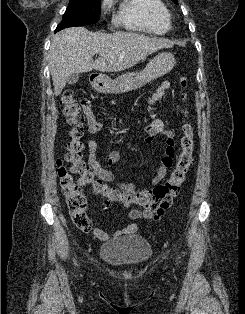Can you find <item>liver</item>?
<instances>
[{
  "instance_id": "obj_1",
  "label": "liver",
  "mask_w": 245,
  "mask_h": 314,
  "mask_svg": "<svg viewBox=\"0 0 245 314\" xmlns=\"http://www.w3.org/2000/svg\"><path fill=\"white\" fill-rule=\"evenodd\" d=\"M173 42L144 34L118 31L107 34L89 32L85 27L64 29L53 36L48 53L54 94L60 95L72 74L93 69L117 72L130 68L148 55L171 48ZM99 58L93 61V55Z\"/></svg>"
}]
</instances>
